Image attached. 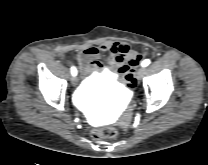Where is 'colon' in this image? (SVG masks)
Listing matches in <instances>:
<instances>
[{
    "label": "colon",
    "instance_id": "5ec220e1",
    "mask_svg": "<svg viewBox=\"0 0 208 165\" xmlns=\"http://www.w3.org/2000/svg\"><path fill=\"white\" fill-rule=\"evenodd\" d=\"M124 78L126 84L131 89H136L138 87V79L135 78L133 68L127 69V71L124 73ZM91 136L94 139L115 138L118 136V131L113 127L96 128L91 132Z\"/></svg>",
    "mask_w": 208,
    "mask_h": 165
}]
</instances>
